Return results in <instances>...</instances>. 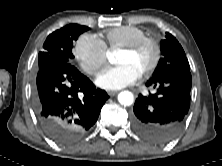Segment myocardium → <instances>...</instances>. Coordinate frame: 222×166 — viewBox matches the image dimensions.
I'll use <instances>...</instances> for the list:
<instances>
[{
	"label": "myocardium",
	"instance_id": "1",
	"mask_svg": "<svg viewBox=\"0 0 222 166\" xmlns=\"http://www.w3.org/2000/svg\"><path fill=\"white\" fill-rule=\"evenodd\" d=\"M146 44L150 45L153 48V58L150 65L141 73L142 76L150 75L159 64L161 58V48L158 41L153 37L144 36L121 47L122 51L135 52Z\"/></svg>",
	"mask_w": 222,
	"mask_h": 166
}]
</instances>
